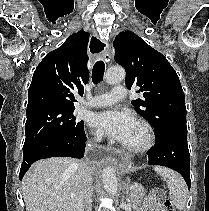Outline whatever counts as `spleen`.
<instances>
[{
	"instance_id": "1",
	"label": "spleen",
	"mask_w": 209,
	"mask_h": 211,
	"mask_svg": "<svg viewBox=\"0 0 209 211\" xmlns=\"http://www.w3.org/2000/svg\"><path fill=\"white\" fill-rule=\"evenodd\" d=\"M154 170L166 181L170 190V199L176 208L183 210L187 202V186L182 177L166 167L155 166Z\"/></svg>"
}]
</instances>
